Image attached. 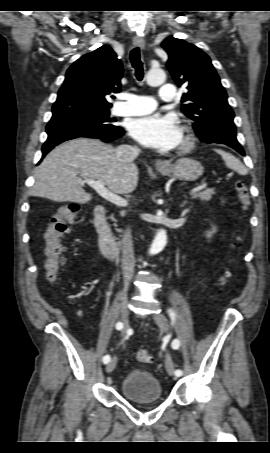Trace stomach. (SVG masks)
<instances>
[{"label":"stomach","mask_w":270,"mask_h":453,"mask_svg":"<svg viewBox=\"0 0 270 453\" xmlns=\"http://www.w3.org/2000/svg\"><path fill=\"white\" fill-rule=\"evenodd\" d=\"M162 175L178 178L184 181H195L203 174V166L200 162L191 158H180L165 168L157 169Z\"/></svg>","instance_id":"obj_1"}]
</instances>
